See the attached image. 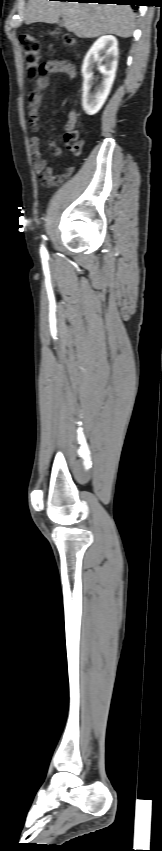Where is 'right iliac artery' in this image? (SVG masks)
Returning a JSON list of instances; mask_svg holds the SVG:
<instances>
[{
    "instance_id": "82829eb1",
    "label": "right iliac artery",
    "mask_w": 162,
    "mask_h": 851,
    "mask_svg": "<svg viewBox=\"0 0 162 851\" xmlns=\"http://www.w3.org/2000/svg\"><path fill=\"white\" fill-rule=\"evenodd\" d=\"M41 256H42V257H47V256H48V253H47L46 249H45L43 246L41 247Z\"/></svg>"
}]
</instances>
